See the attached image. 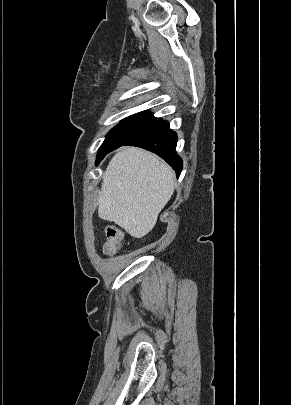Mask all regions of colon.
<instances>
[{"label": "colon", "instance_id": "1", "mask_svg": "<svg viewBox=\"0 0 291 405\" xmlns=\"http://www.w3.org/2000/svg\"><path fill=\"white\" fill-rule=\"evenodd\" d=\"M123 240L124 234L120 229L114 226L107 227L104 253L110 256L115 255L121 249Z\"/></svg>", "mask_w": 291, "mask_h": 405}]
</instances>
